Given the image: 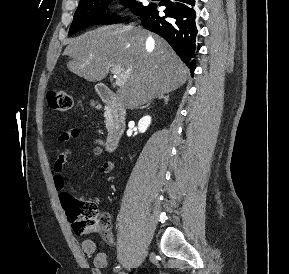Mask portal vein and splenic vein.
I'll use <instances>...</instances> for the list:
<instances>
[{
  "label": "portal vein and splenic vein",
  "instance_id": "18ae733b",
  "mask_svg": "<svg viewBox=\"0 0 289 274\" xmlns=\"http://www.w3.org/2000/svg\"><path fill=\"white\" fill-rule=\"evenodd\" d=\"M111 73L116 78V85L121 86L127 80V76L123 73V69L120 66H114L111 68Z\"/></svg>",
  "mask_w": 289,
  "mask_h": 274
}]
</instances>
